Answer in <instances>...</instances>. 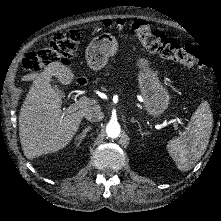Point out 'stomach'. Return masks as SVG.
Masks as SVG:
<instances>
[{
  "label": "stomach",
  "instance_id": "stomach-1",
  "mask_svg": "<svg viewBox=\"0 0 221 221\" xmlns=\"http://www.w3.org/2000/svg\"><path fill=\"white\" fill-rule=\"evenodd\" d=\"M118 49L116 38L110 33H102L96 36L86 48V61L92 70H100L109 57L114 56ZM137 66L138 86L143 97V106L146 112L154 118H158L168 108L170 96L162 86L157 73L148 66V61L139 59Z\"/></svg>",
  "mask_w": 221,
  "mask_h": 221
}]
</instances>
